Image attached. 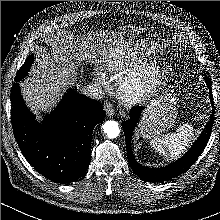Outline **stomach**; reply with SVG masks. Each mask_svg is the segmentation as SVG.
I'll use <instances>...</instances> for the list:
<instances>
[{"label":"stomach","instance_id":"obj_1","mask_svg":"<svg viewBox=\"0 0 220 220\" xmlns=\"http://www.w3.org/2000/svg\"><path fill=\"white\" fill-rule=\"evenodd\" d=\"M126 43L133 50H152L158 42L153 29L125 26L122 29ZM177 118V99L169 94L163 100L154 103L144 116L140 136L155 137L173 126Z\"/></svg>","mask_w":220,"mask_h":220}]
</instances>
